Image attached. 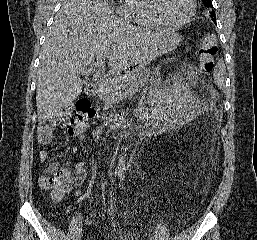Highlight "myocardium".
I'll return each instance as SVG.
<instances>
[{
    "label": "myocardium",
    "mask_w": 257,
    "mask_h": 240,
    "mask_svg": "<svg viewBox=\"0 0 257 240\" xmlns=\"http://www.w3.org/2000/svg\"><path fill=\"white\" fill-rule=\"evenodd\" d=\"M148 1V7L149 10L152 14V16L159 21L162 25L170 26V27H180L188 23L193 15L196 12L197 9V4L196 0H189L190 3V8L188 13L180 20H169L166 17L162 15L160 12L158 5H157V0H147Z\"/></svg>",
    "instance_id": "obj_1"
}]
</instances>
